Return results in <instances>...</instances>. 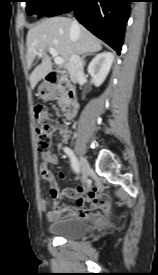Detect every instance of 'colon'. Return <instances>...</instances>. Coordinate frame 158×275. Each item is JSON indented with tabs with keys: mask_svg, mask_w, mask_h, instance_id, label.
Segmentation results:
<instances>
[{
	"mask_svg": "<svg viewBox=\"0 0 158 275\" xmlns=\"http://www.w3.org/2000/svg\"><path fill=\"white\" fill-rule=\"evenodd\" d=\"M34 118L37 147L41 152H46L51 146L53 134L58 127V122L53 115L41 105L35 107Z\"/></svg>",
	"mask_w": 158,
	"mask_h": 275,
	"instance_id": "5ec220e1",
	"label": "colon"
}]
</instances>
